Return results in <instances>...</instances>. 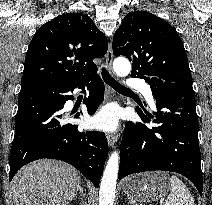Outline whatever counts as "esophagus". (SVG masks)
I'll return each mask as SVG.
<instances>
[{"instance_id": "esophagus-1", "label": "esophagus", "mask_w": 212, "mask_h": 205, "mask_svg": "<svg viewBox=\"0 0 212 205\" xmlns=\"http://www.w3.org/2000/svg\"><path fill=\"white\" fill-rule=\"evenodd\" d=\"M112 63H113V50H112V44L109 43L108 50L106 53V67L111 74H113ZM107 140L109 145L113 146L115 142L117 141V136L112 133L107 134Z\"/></svg>"}]
</instances>
